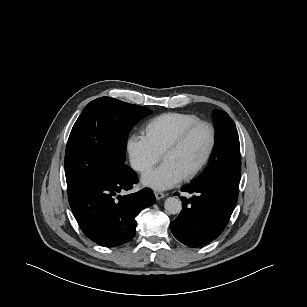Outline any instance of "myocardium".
I'll return each instance as SVG.
<instances>
[{"label":"myocardium","mask_w":307,"mask_h":307,"mask_svg":"<svg viewBox=\"0 0 307 307\" xmlns=\"http://www.w3.org/2000/svg\"><path fill=\"white\" fill-rule=\"evenodd\" d=\"M199 127H205V128L208 129L209 136H210L209 145H208L207 151H206L204 157L202 158V160L200 161V163L191 172H189L188 174L183 176V179L187 180V181L195 178L205 168V166L208 164V162H209V160H210V158L213 154V151H214L215 145H216V130H215L214 126L211 123H209L207 121H202V120L188 125L167 146V148L164 150V152L162 154V159L164 160V158L168 154H170V153L176 151L177 149H179L183 145V143L186 141V139L190 136V134Z\"/></svg>","instance_id":"1"}]
</instances>
